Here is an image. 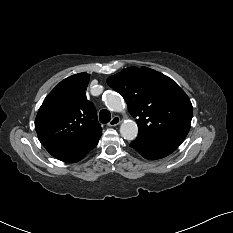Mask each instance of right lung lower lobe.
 <instances>
[{
	"instance_id": "1",
	"label": "right lung lower lobe",
	"mask_w": 233,
	"mask_h": 233,
	"mask_svg": "<svg viewBox=\"0 0 233 233\" xmlns=\"http://www.w3.org/2000/svg\"><path fill=\"white\" fill-rule=\"evenodd\" d=\"M100 137L101 135L93 138L89 142L80 145H52L46 146L45 148L55 158L61 161L74 163L85 157L86 154L97 145Z\"/></svg>"
}]
</instances>
